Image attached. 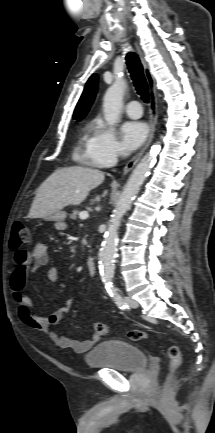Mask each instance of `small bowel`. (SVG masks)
Wrapping results in <instances>:
<instances>
[{"instance_id": "obj_1", "label": "small bowel", "mask_w": 215, "mask_h": 433, "mask_svg": "<svg viewBox=\"0 0 215 433\" xmlns=\"http://www.w3.org/2000/svg\"><path fill=\"white\" fill-rule=\"evenodd\" d=\"M15 268L10 278V290L18 308L20 320L28 327L47 333L51 341L62 349H71L76 353H85L100 339L93 333L88 339L80 341L70 335L50 330L59 326L64 314L73 306L74 298L69 297L65 303L55 309L49 316L42 317L35 313L33 306L24 293L28 275L49 262L47 246L43 242L34 245L31 251L17 250L14 254ZM48 281L55 282L59 278V269L55 266L47 270Z\"/></svg>"}]
</instances>
